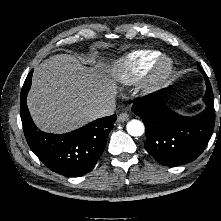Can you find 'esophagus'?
I'll use <instances>...</instances> for the list:
<instances>
[{
  "mask_svg": "<svg viewBox=\"0 0 221 221\" xmlns=\"http://www.w3.org/2000/svg\"><path fill=\"white\" fill-rule=\"evenodd\" d=\"M129 120V115L126 112H122L118 115L117 121L122 123Z\"/></svg>",
  "mask_w": 221,
  "mask_h": 221,
  "instance_id": "esophagus-1",
  "label": "esophagus"
}]
</instances>
